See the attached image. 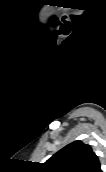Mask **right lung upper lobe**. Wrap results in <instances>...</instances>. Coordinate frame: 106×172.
I'll use <instances>...</instances> for the list:
<instances>
[{
  "label": "right lung upper lobe",
  "instance_id": "cb5924a9",
  "mask_svg": "<svg viewBox=\"0 0 106 172\" xmlns=\"http://www.w3.org/2000/svg\"><path fill=\"white\" fill-rule=\"evenodd\" d=\"M47 172H102L98 157L90 145L74 141L48 159Z\"/></svg>",
  "mask_w": 106,
  "mask_h": 172
}]
</instances>
